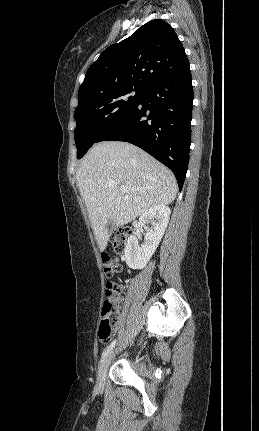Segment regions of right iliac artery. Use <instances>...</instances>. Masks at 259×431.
Segmentation results:
<instances>
[{"instance_id":"1","label":"right iliac artery","mask_w":259,"mask_h":431,"mask_svg":"<svg viewBox=\"0 0 259 431\" xmlns=\"http://www.w3.org/2000/svg\"><path fill=\"white\" fill-rule=\"evenodd\" d=\"M115 344H116V340L112 341L111 344L105 349V351L102 353V358H101L100 362L104 361V359L108 356V354L114 348Z\"/></svg>"}]
</instances>
